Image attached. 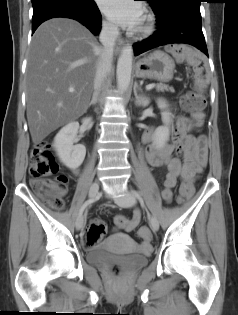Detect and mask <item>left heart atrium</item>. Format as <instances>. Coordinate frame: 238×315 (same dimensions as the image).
Segmentation results:
<instances>
[{
  "mask_svg": "<svg viewBox=\"0 0 238 315\" xmlns=\"http://www.w3.org/2000/svg\"><path fill=\"white\" fill-rule=\"evenodd\" d=\"M102 12L115 24L137 28L143 20V6L136 0H98Z\"/></svg>",
  "mask_w": 238,
  "mask_h": 315,
  "instance_id": "1",
  "label": "left heart atrium"
}]
</instances>
